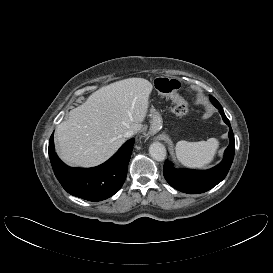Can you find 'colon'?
<instances>
[{"instance_id":"obj_1","label":"colon","mask_w":273,"mask_h":273,"mask_svg":"<svg viewBox=\"0 0 273 273\" xmlns=\"http://www.w3.org/2000/svg\"><path fill=\"white\" fill-rule=\"evenodd\" d=\"M155 86L160 92L165 94H171L173 92L178 91L181 88V84L179 81L169 78L156 79ZM175 112L177 115L183 116L187 114L188 108L184 104H179L176 106Z\"/></svg>"}]
</instances>
